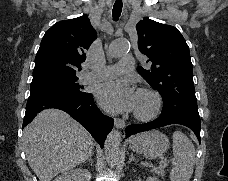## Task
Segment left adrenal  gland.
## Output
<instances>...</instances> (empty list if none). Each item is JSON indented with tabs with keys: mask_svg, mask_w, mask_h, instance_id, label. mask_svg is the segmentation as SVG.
Here are the masks:
<instances>
[{
	"mask_svg": "<svg viewBox=\"0 0 228 181\" xmlns=\"http://www.w3.org/2000/svg\"><path fill=\"white\" fill-rule=\"evenodd\" d=\"M132 161H134V163H138V161H136V159H135L133 153H131L130 159H129L128 163H132Z\"/></svg>",
	"mask_w": 228,
	"mask_h": 181,
	"instance_id": "1",
	"label": "left adrenal gland"
}]
</instances>
